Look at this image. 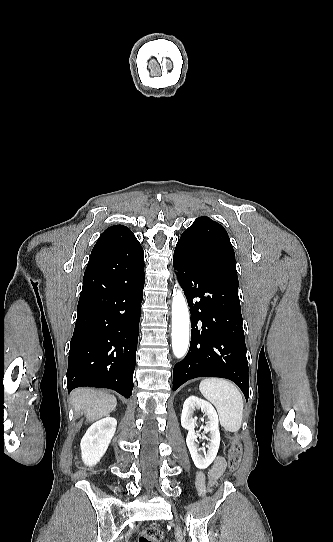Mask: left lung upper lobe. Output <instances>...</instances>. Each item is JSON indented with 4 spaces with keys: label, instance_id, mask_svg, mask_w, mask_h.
Listing matches in <instances>:
<instances>
[{
    "label": "left lung upper lobe",
    "instance_id": "left-lung-upper-lobe-1",
    "mask_svg": "<svg viewBox=\"0 0 333 542\" xmlns=\"http://www.w3.org/2000/svg\"><path fill=\"white\" fill-rule=\"evenodd\" d=\"M176 247L185 251L194 263L238 278L235 253L228 233L209 217H198L182 233Z\"/></svg>",
    "mask_w": 333,
    "mask_h": 542
}]
</instances>
